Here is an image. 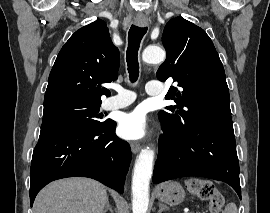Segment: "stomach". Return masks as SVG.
Here are the masks:
<instances>
[{
    "instance_id": "obj_1",
    "label": "stomach",
    "mask_w": 270,
    "mask_h": 213,
    "mask_svg": "<svg viewBox=\"0 0 270 213\" xmlns=\"http://www.w3.org/2000/svg\"><path fill=\"white\" fill-rule=\"evenodd\" d=\"M156 196L161 202L177 205L183 202L185 192L178 182L169 181L158 186Z\"/></svg>"
}]
</instances>
